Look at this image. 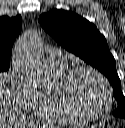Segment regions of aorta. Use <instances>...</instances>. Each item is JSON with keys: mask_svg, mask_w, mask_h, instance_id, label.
Wrapping results in <instances>:
<instances>
[{"mask_svg": "<svg viewBox=\"0 0 125 128\" xmlns=\"http://www.w3.org/2000/svg\"><path fill=\"white\" fill-rule=\"evenodd\" d=\"M40 36L37 32H27L15 45V63L38 86L50 85L51 78L46 68L40 51Z\"/></svg>", "mask_w": 125, "mask_h": 128, "instance_id": "762f6f07", "label": "aorta"}]
</instances>
